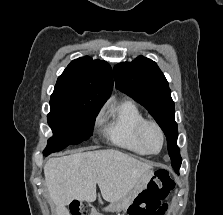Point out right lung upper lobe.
Masks as SVG:
<instances>
[{
    "instance_id": "1",
    "label": "right lung upper lobe",
    "mask_w": 223,
    "mask_h": 215,
    "mask_svg": "<svg viewBox=\"0 0 223 215\" xmlns=\"http://www.w3.org/2000/svg\"><path fill=\"white\" fill-rule=\"evenodd\" d=\"M113 88L112 69L90 57L73 60L58 77L51 95L52 105H94L102 107Z\"/></svg>"
}]
</instances>
